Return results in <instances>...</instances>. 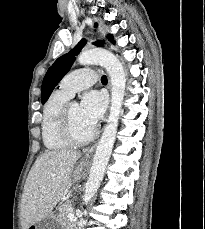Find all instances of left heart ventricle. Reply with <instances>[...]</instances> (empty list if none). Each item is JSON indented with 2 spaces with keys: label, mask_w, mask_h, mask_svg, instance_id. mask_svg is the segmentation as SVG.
<instances>
[{
  "label": "left heart ventricle",
  "mask_w": 205,
  "mask_h": 229,
  "mask_svg": "<svg viewBox=\"0 0 205 229\" xmlns=\"http://www.w3.org/2000/svg\"><path fill=\"white\" fill-rule=\"evenodd\" d=\"M70 113L74 134L80 138L87 136L91 132L93 126L87 123L83 118L79 104L74 103L71 106Z\"/></svg>",
  "instance_id": "b2bd125f"
}]
</instances>
